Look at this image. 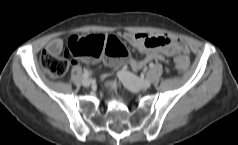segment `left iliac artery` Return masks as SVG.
Segmentation results:
<instances>
[{"label":"left iliac artery","instance_id":"obj_1","mask_svg":"<svg viewBox=\"0 0 238 145\" xmlns=\"http://www.w3.org/2000/svg\"><path fill=\"white\" fill-rule=\"evenodd\" d=\"M149 67H150V68H153V67H154V64H153V63H150V64H149Z\"/></svg>","mask_w":238,"mask_h":145}]
</instances>
